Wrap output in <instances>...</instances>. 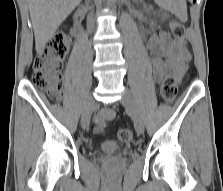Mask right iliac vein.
<instances>
[{
    "label": "right iliac vein",
    "mask_w": 223,
    "mask_h": 191,
    "mask_svg": "<svg viewBox=\"0 0 223 191\" xmlns=\"http://www.w3.org/2000/svg\"><path fill=\"white\" fill-rule=\"evenodd\" d=\"M94 107H95V99L92 95H90L85 102L81 117V125L84 129H88L89 127L90 118Z\"/></svg>",
    "instance_id": "obj_1"
}]
</instances>
